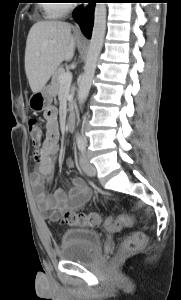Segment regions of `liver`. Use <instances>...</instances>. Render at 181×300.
I'll return each instance as SVG.
<instances>
[{
  "instance_id": "obj_1",
  "label": "liver",
  "mask_w": 181,
  "mask_h": 300,
  "mask_svg": "<svg viewBox=\"0 0 181 300\" xmlns=\"http://www.w3.org/2000/svg\"><path fill=\"white\" fill-rule=\"evenodd\" d=\"M75 38L71 25L61 21H39L28 34L25 72L32 92L42 89L63 61L73 58Z\"/></svg>"
}]
</instances>
